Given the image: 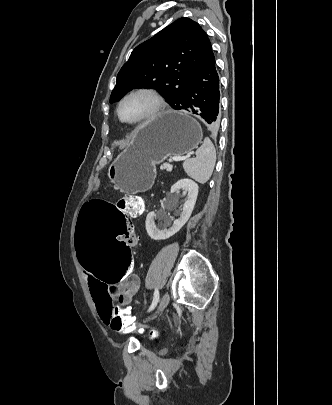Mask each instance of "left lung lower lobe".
<instances>
[{"label": "left lung lower lobe", "mask_w": 332, "mask_h": 405, "mask_svg": "<svg viewBox=\"0 0 332 405\" xmlns=\"http://www.w3.org/2000/svg\"><path fill=\"white\" fill-rule=\"evenodd\" d=\"M180 109L196 114L213 130L219 128L221 119L220 85L212 51L193 75L187 95L178 110Z\"/></svg>", "instance_id": "1"}]
</instances>
